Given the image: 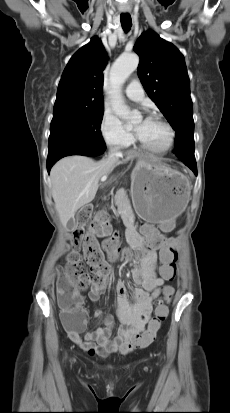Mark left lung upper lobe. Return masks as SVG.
<instances>
[{"instance_id":"left-lung-upper-lobe-1","label":"left lung upper lobe","mask_w":230,"mask_h":413,"mask_svg":"<svg viewBox=\"0 0 230 413\" xmlns=\"http://www.w3.org/2000/svg\"><path fill=\"white\" fill-rule=\"evenodd\" d=\"M140 57L138 76L148 96L176 132L174 153L181 161L195 160L190 80L182 53L154 31L134 45Z\"/></svg>"}]
</instances>
